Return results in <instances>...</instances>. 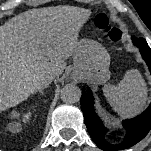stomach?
<instances>
[{"label":"stomach","mask_w":151,"mask_h":151,"mask_svg":"<svg viewBox=\"0 0 151 151\" xmlns=\"http://www.w3.org/2000/svg\"><path fill=\"white\" fill-rule=\"evenodd\" d=\"M75 75L87 76L99 83L106 82L110 77L107 51L98 43L89 40L79 42L75 51Z\"/></svg>","instance_id":"obj_1"}]
</instances>
